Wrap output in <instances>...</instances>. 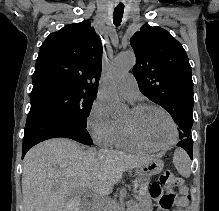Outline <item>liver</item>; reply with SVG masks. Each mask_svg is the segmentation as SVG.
Here are the masks:
<instances>
[{
    "instance_id": "obj_1",
    "label": "liver",
    "mask_w": 219,
    "mask_h": 211,
    "mask_svg": "<svg viewBox=\"0 0 219 211\" xmlns=\"http://www.w3.org/2000/svg\"><path fill=\"white\" fill-rule=\"evenodd\" d=\"M147 155L83 149L68 137L37 143L23 159L24 211H96L104 191L119 183L124 171L146 163ZM92 201H82V193Z\"/></svg>"
}]
</instances>
